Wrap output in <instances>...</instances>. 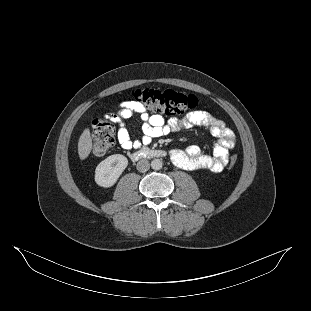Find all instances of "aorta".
<instances>
[{
  "label": "aorta",
  "mask_w": 311,
  "mask_h": 311,
  "mask_svg": "<svg viewBox=\"0 0 311 311\" xmlns=\"http://www.w3.org/2000/svg\"><path fill=\"white\" fill-rule=\"evenodd\" d=\"M163 166V162L160 159H153L151 161V167L153 170H160Z\"/></svg>",
  "instance_id": "1"
}]
</instances>
